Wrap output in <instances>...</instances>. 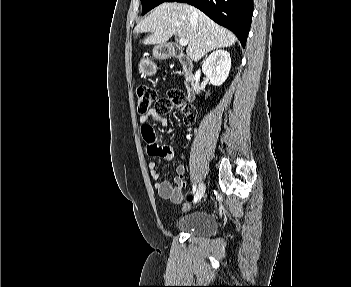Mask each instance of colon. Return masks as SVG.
I'll list each match as a JSON object with an SVG mask.
<instances>
[{"mask_svg":"<svg viewBox=\"0 0 351 287\" xmlns=\"http://www.w3.org/2000/svg\"><path fill=\"white\" fill-rule=\"evenodd\" d=\"M135 96L140 113H145L154 106L155 111L163 115L167 114L172 107H176L184 114V122L187 125H191L195 121V111L188 106L185 94L181 90L171 89L167 92L166 98L156 100V90L150 86L142 85L136 89Z\"/></svg>","mask_w":351,"mask_h":287,"instance_id":"5ec220e1","label":"colon"}]
</instances>
